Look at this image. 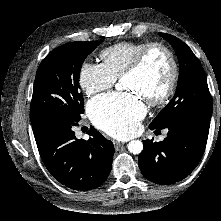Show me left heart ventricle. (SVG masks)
Masks as SVG:
<instances>
[{"label":"left heart ventricle","instance_id":"b2bd125f","mask_svg":"<svg viewBox=\"0 0 221 221\" xmlns=\"http://www.w3.org/2000/svg\"><path fill=\"white\" fill-rule=\"evenodd\" d=\"M169 74V63L165 54L158 49L149 53L142 69L123 78L124 87L137 92L143 98L162 93Z\"/></svg>","mask_w":221,"mask_h":221}]
</instances>
